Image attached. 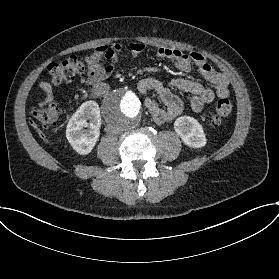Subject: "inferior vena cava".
I'll return each instance as SVG.
<instances>
[{"instance_id":"inferior-vena-cava-1","label":"inferior vena cava","mask_w":279,"mask_h":279,"mask_svg":"<svg viewBox=\"0 0 279 279\" xmlns=\"http://www.w3.org/2000/svg\"><path fill=\"white\" fill-rule=\"evenodd\" d=\"M105 131L107 134L112 135V136L120 135L123 132V130L120 127L113 126V125H107L105 127Z\"/></svg>"}]
</instances>
